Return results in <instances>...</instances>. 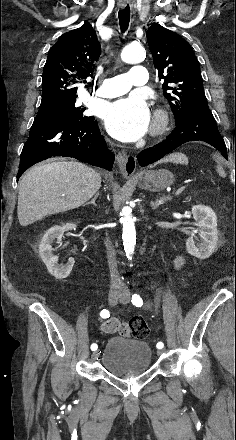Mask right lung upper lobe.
I'll use <instances>...</instances> for the list:
<instances>
[{"instance_id": "cb5924a9", "label": "right lung upper lobe", "mask_w": 236, "mask_h": 440, "mask_svg": "<svg viewBox=\"0 0 236 440\" xmlns=\"http://www.w3.org/2000/svg\"><path fill=\"white\" fill-rule=\"evenodd\" d=\"M101 46L90 23L64 33L48 53L40 106L76 100L77 88L94 71Z\"/></svg>"}]
</instances>
